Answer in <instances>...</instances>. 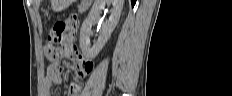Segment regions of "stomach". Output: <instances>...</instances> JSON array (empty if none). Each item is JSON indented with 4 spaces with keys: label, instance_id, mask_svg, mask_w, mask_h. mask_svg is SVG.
<instances>
[{
    "label": "stomach",
    "instance_id": "stomach-1",
    "mask_svg": "<svg viewBox=\"0 0 232 96\" xmlns=\"http://www.w3.org/2000/svg\"><path fill=\"white\" fill-rule=\"evenodd\" d=\"M72 0H53L52 1V9L56 12L61 11L69 6Z\"/></svg>",
    "mask_w": 232,
    "mask_h": 96
}]
</instances>
